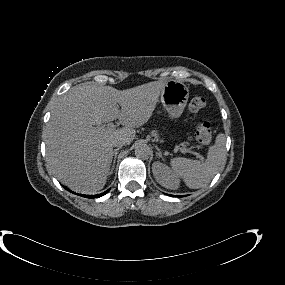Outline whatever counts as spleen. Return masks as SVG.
<instances>
[{"mask_svg": "<svg viewBox=\"0 0 285 285\" xmlns=\"http://www.w3.org/2000/svg\"><path fill=\"white\" fill-rule=\"evenodd\" d=\"M225 142L224 134H218L215 144L208 150L205 162L176 157L170 162L171 171L191 189L208 185L226 157Z\"/></svg>", "mask_w": 285, "mask_h": 285, "instance_id": "3e777b00", "label": "spleen"}]
</instances>
